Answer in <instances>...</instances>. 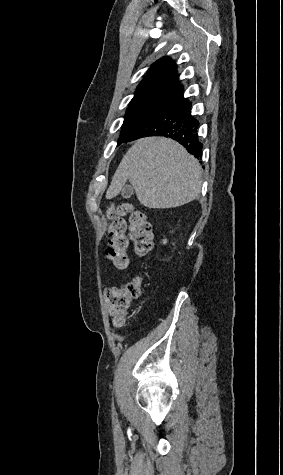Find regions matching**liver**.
<instances>
[{"instance_id": "1", "label": "liver", "mask_w": 283, "mask_h": 475, "mask_svg": "<svg viewBox=\"0 0 283 475\" xmlns=\"http://www.w3.org/2000/svg\"><path fill=\"white\" fill-rule=\"evenodd\" d=\"M201 170L198 160L175 140L142 138L123 156L106 198H116L129 180L145 208H177L197 198Z\"/></svg>"}]
</instances>
